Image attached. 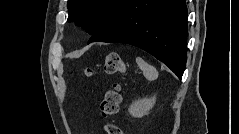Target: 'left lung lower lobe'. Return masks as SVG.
Wrapping results in <instances>:
<instances>
[{
	"label": "left lung lower lobe",
	"instance_id": "obj_1",
	"mask_svg": "<svg viewBox=\"0 0 239 134\" xmlns=\"http://www.w3.org/2000/svg\"><path fill=\"white\" fill-rule=\"evenodd\" d=\"M185 0H124L111 22L88 43H127L165 63L180 79L187 60Z\"/></svg>",
	"mask_w": 239,
	"mask_h": 134
}]
</instances>
